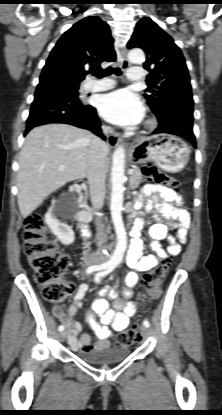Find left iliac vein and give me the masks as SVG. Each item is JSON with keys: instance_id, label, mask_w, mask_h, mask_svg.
<instances>
[{"instance_id": "1", "label": "left iliac vein", "mask_w": 222, "mask_h": 415, "mask_svg": "<svg viewBox=\"0 0 222 415\" xmlns=\"http://www.w3.org/2000/svg\"><path fill=\"white\" fill-rule=\"evenodd\" d=\"M140 332H141V335L144 339H146L149 335V329L146 326H141L140 327Z\"/></svg>"}]
</instances>
